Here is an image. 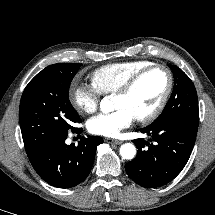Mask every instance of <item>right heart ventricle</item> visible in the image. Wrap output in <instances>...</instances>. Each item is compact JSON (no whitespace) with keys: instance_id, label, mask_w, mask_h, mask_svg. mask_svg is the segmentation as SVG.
<instances>
[{"instance_id":"obj_1","label":"right heart ventricle","mask_w":215,"mask_h":215,"mask_svg":"<svg viewBox=\"0 0 215 215\" xmlns=\"http://www.w3.org/2000/svg\"><path fill=\"white\" fill-rule=\"evenodd\" d=\"M152 64L145 60L107 64L93 72L92 83L102 94H114L130 77Z\"/></svg>"}]
</instances>
